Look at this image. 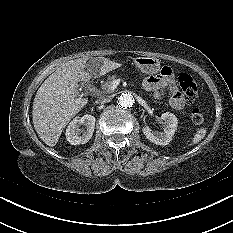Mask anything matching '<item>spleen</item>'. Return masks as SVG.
I'll return each instance as SVG.
<instances>
[{"mask_svg": "<svg viewBox=\"0 0 233 233\" xmlns=\"http://www.w3.org/2000/svg\"><path fill=\"white\" fill-rule=\"evenodd\" d=\"M206 133H207L206 128L197 129V131L192 139L191 145L193 146V145L199 143L205 137Z\"/></svg>", "mask_w": 233, "mask_h": 233, "instance_id": "1", "label": "spleen"}]
</instances>
